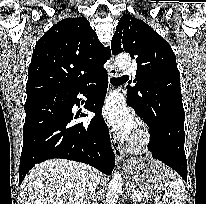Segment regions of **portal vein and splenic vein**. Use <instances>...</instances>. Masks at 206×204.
<instances>
[{
	"label": "portal vein and splenic vein",
	"mask_w": 206,
	"mask_h": 204,
	"mask_svg": "<svg viewBox=\"0 0 206 204\" xmlns=\"http://www.w3.org/2000/svg\"><path fill=\"white\" fill-rule=\"evenodd\" d=\"M133 197H136V198L140 201V197H139L138 194H135ZM159 200H160V197H159V196H155V202H156V204H157V202H159Z\"/></svg>",
	"instance_id": "obj_1"
}]
</instances>
